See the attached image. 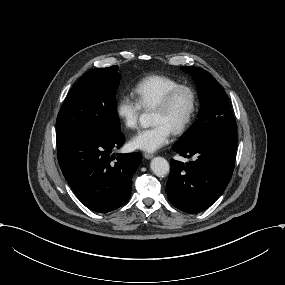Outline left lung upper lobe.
I'll use <instances>...</instances> for the list:
<instances>
[{"mask_svg":"<svg viewBox=\"0 0 285 285\" xmlns=\"http://www.w3.org/2000/svg\"><path fill=\"white\" fill-rule=\"evenodd\" d=\"M182 70L195 79L201 110L198 120L185 132L174 145L186 148L221 129L236 128L228 98L215 78L202 68L185 66Z\"/></svg>","mask_w":285,"mask_h":285,"instance_id":"obj_1","label":"left lung upper lobe"}]
</instances>
